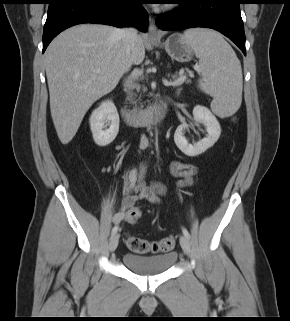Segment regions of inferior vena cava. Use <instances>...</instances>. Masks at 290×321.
I'll use <instances>...</instances> for the list:
<instances>
[{"mask_svg": "<svg viewBox=\"0 0 290 321\" xmlns=\"http://www.w3.org/2000/svg\"><path fill=\"white\" fill-rule=\"evenodd\" d=\"M126 48H132L137 39V30L135 28L121 29L119 32Z\"/></svg>", "mask_w": 290, "mask_h": 321, "instance_id": "inferior-vena-cava-1", "label": "inferior vena cava"}]
</instances>
